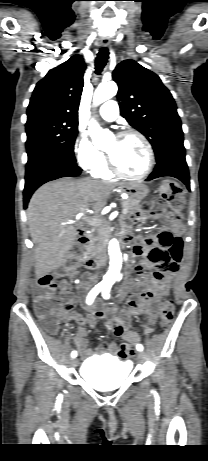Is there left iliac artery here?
Segmentation results:
<instances>
[{
    "mask_svg": "<svg viewBox=\"0 0 208 461\" xmlns=\"http://www.w3.org/2000/svg\"><path fill=\"white\" fill-rule=\"evenodd\" d=\"M109 291H110V287H109V286L103 288L102 296H103L104 299H108V298L110 297ZM136 348H137L138 351H142V350H143V346H142L141 344H138V345L136 346Z\"/></svg>",
    "mask_w": 208,
    "mask_h": 461,
    "instance_id": "1",
    "label": "left iliac artery"
}]
</instances>
